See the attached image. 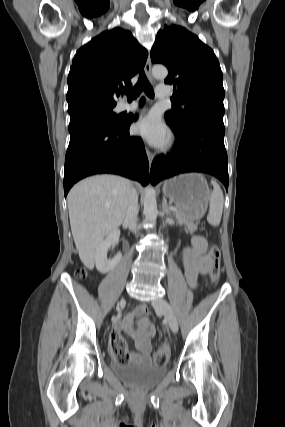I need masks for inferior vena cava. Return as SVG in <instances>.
Here are the masks:
<instances>
[{"instance_id": "602c4592", "label": "inferior vena cava", "mask_w": 285, "mask_h": 427, "mask_svg": "<svg viewBox=\"0 0 285 427\" xmlns=\"http://www.w3.org/2000/svg\"><path fill=\"white\" fill-rule=\"evenodd\" d=\"M138 194L135 189H131L128 198V205L124 223L128 225L129 229L136 232L137 228V215H138Z\"/></svg>"}]
</instances>
